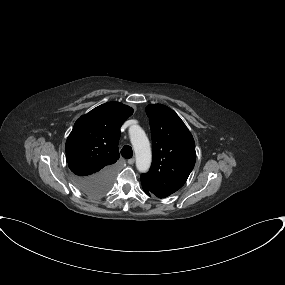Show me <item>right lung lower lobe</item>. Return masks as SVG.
<instances>
[{
	"instance_id": "1",
	"label": "right lung lower lobe",
	"mask_w": 285,
	"mask_h": 285,
	"mask_svg": "<svg viewBox=\"0 0 285 285\" xmlns=\"http://www.w3.org/2000/svg\"><path fill=\"white\" fill-rule=\"evenodd\" d=\"M116 172V165L108 166L91 176H76V186L86 195H104L111 188Z\"/></svg>"
}]
</instances>
